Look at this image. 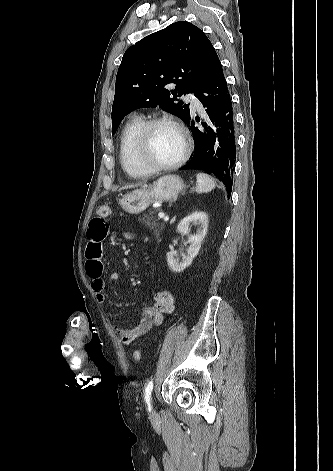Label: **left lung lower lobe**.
<instances>
[{"instance_id": "obj_1", "label": "left lung lower lobe", "mask_w": 333, "mask_h": 471, "mask_svg": "<svg viewBox=\"0 0 333 471\" xmlns=\"http://www.w3.org/2000/svg\"><path fill=\"white\" fill-rule=\"evenodd\" d=\"M195 96L207 108L210 125L203 123L204 130H199L194 127L191 117L186 122L193 134L195 151L191 160L180 170L200 169L214 174L224 183L230 197L236 156V124L230 93L217 55ZM196 121H199L197 117Z\"/></svg>"}]
</instances>
